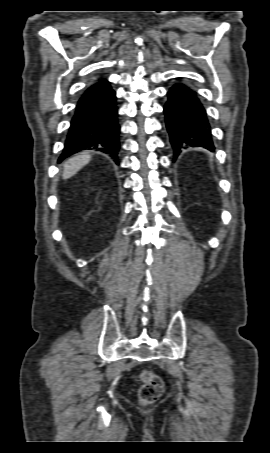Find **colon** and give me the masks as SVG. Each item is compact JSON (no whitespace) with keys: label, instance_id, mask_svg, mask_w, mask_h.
<instances>
[{"label":"colon","instance_id":"1","mask_svg":"<svg viewBox=\"0 0 270 453\" xmlns=\"http://www.w3.org/2000/svg\"><path fill=\"white\" fill-rule=\"evenodd\" d=\"M142 385L139 389L138 398L142 406L153 404L164 391L163 380L153 372L144 370L140 374Z\"/></svg>","mask_w":270,"mask_h":453}]
</instances>
